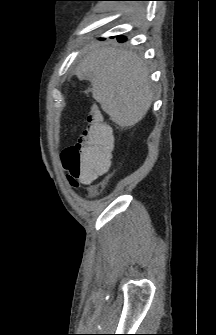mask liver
I'll return each instance as SVG.
<instances>
[{
    "mask_svg": "<svg viewBox=\"0 0 216 335\" xmlns=\"http://www.w3.org/2000/svg\"><path fill=\"white\" fill-rule=\"evenodd\" d=\"M76 75L90 77L93 98L122 128L137 124L151 107L149 70L130 50L95 44L77 66Z\"/></svg>",
    "mask_w": 216,
    "mask_h": 335,
    "instance_id": "liver-1",
    "label": "liver"
}]
</instances>
